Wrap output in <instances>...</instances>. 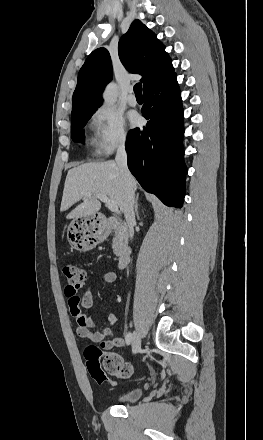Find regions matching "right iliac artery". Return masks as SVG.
Returning a JSON list of instances; mask_svg holds the SVG:
<instances>
[{
	"instance_id": "1",
	"label": "right iliac artery",
	"mask_w": 263,
	"mask_h": 440,
	"mask_svg": "<svg viewBox=\"0 0 263 440\" xmlns=\"http://www.w3.org/2000/svg\"><path fill=\"white\" fill-rule=\"evenodd\" d=\"M131 341H132V334L128 332L125 336V342L127 345H130Z\"/></svg>"
}]
</instances>
